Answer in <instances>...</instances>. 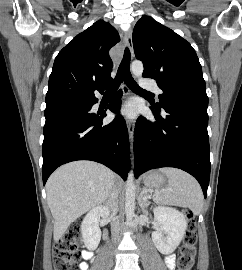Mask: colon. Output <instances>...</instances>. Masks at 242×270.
<instances>
[{
	"instance_id": "5ec220e1",
	"label": "colon",
	"mask_w": 242,
	"mask_h": 270,
	"mask_svg": "<svg viewBox=\"0 0 242 270\" xmlns=\"http://www.w3.org/2000/svg\"><path fill=\"white\" fill-rule=\"evenodd\" d=\"M189 219L187 231L177 260L178 270H191L196 254L197 235L191 212H187ZM81 224L73 223L58 240L54 249L55 270H77L80 254L78 253V241L81 237Z\"/></svg>"
}]
</instances>
